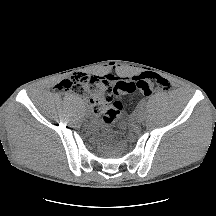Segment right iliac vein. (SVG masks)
Masks as SVG:
<instances>
[{"label":"right iliac vein","instance_id":"63e3f726","mask_svg":"<svg viewBox=\"0 0 216 216\" xmlns=\"http://www.w3.org/2000/svg\"><path fill=\"white\" fill-rule=\"evenodd\" d=\"M87 115H90L89 111L86 112Z\"/></svg>","mask_w":216,"mask_h":216}]
</instances>
